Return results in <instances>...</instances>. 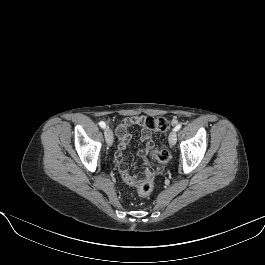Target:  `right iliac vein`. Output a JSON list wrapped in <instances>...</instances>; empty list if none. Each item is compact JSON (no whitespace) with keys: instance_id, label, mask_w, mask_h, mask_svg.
I'll use <instances>...</instances> for the list:
<instances>
[{"instance_id":"63e3f726","label":"right iliac vein","mask_w":265,"mask_h":265,"mask_svg":"<svg viewBox=\"0 0 265 265\" xmlns=\"http://www.w3.org/2000/svg\"><path fill=\"white\" fill-rule=\"evenodd\" d=\"M104 135H105L106 143L109 146H111L112 143H113V132H112V130L109 127L105 128Z\"/></svg>"}]
</instances>
